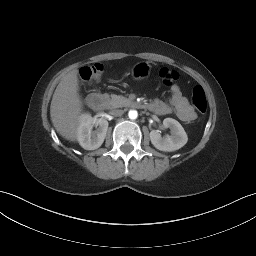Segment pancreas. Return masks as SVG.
<instances>
[{
    "mask_svg": "<svg viewBox=\"0 0 256 256\" xmlns=\"http://www.w3.org/2000/svg\"><path fill=\"white\" fill-rule=\"evenodd\" d=\"M104 97L111 108L124 107L130 104V100L115 94H104Z\"/></svg>",
    "mask_w": 256,
    "mask_h": 256,
    "instance_id": "1",
    "label": "pancreas"
}]
</instances>
